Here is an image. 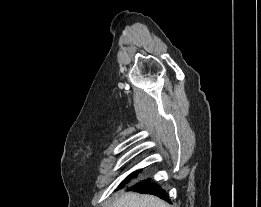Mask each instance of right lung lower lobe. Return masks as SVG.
<instances>
[{
	"label": "right lung lower lobe",
	"instance_id": "1",
	"mask_svg": "<svg viewBox=\"0 0 261 207\" xmlns=\"http://www.w3.org/2000/svg\"><path fill=\"white\" fill-rule=\"evenodd\" d=\"M139 193H146V194H153L156 195L165 201L170 202L169 198L167 197L164 190H162L157 184H152L151 181L148 179L146 181H142L138 184H135L133 187L130 188Z\"/></svg>",
	"mask_w": 261,
	"mask_h": 207
}]
</instances>
